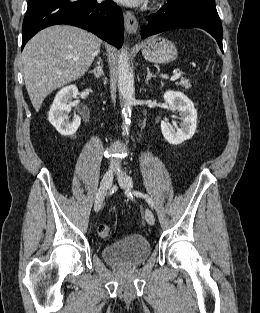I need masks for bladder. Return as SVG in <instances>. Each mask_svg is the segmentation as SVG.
<instances>
[{
  "mask_svg": "<svg viewBox=\"0 0 260 313\" xmlns=\"http://www.w3.org/2000/svg\"><path fill=\"white\" fill-rule=\"evenodd\" d=\"M101 254L105 261L116 266H137L150 256L151 246L144 236L133 234L107 245Z\"/></svg>",
  "mask_w": 260,
  "mask_h": 313,
  "instance_id": "obj_1",
  "label": "bladder"
}]
</instances>
